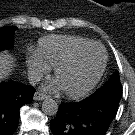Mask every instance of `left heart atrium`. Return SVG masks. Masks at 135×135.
I'll return each instance as SVG.
<instances>
[{
  "label": "left heart atrium",
  "instance_id": "1",
  "mask_svg": "<svg viewBox=\"0 0 135 135\" xmlns=\"http://www.w3.org/2000/svg\"><path fill=\"white\" fill-rule=\"evenodd\" d=\"M44 89L46 91H49V92H59V91H62L64 88L61 85V83L59 82V80L58 79H55L52 82H50L49 84H47L44 87Z\"/></svg>",
  "mask_w": 135,
  "mask_h": 135
}]
</instances>
